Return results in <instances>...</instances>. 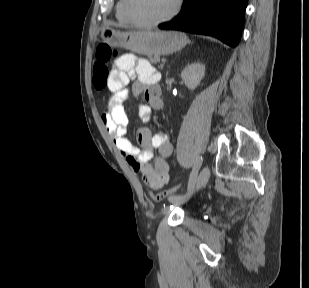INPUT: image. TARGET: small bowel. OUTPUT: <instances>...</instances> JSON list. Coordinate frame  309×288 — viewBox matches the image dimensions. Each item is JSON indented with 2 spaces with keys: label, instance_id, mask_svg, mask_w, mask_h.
Instances as JSON below:
<instances>
[{
  "label": "small bowel",
  "instance_id": "obj_1",
  "mask_svg": "<svg viewBox=\"0 0 309 288\" xmlns=\"http://www.w3.org/2000/svg\"><path fill=\"white\" fill-rule=\"evenodd\" d=\"M157 72L146 59H138L133 54H124L115 61V67L109 79V96L102 122L133 171L141 175L144 183L153 190H158L169 180L170 166L167 158L172 155L173 146L167 133L159 129L152 133L142 127L136 132L135 146L127 137L128 118L124 105L132 97L143 95L144 104L138 105V112L143 121L150 119L153 111L162 110L164 103L161 89L157 85ZM133 81L132 88L129 83ZM157 152V154L154 153Z\"/></svg>",
  "mask_w": 309,
  "mask_h": 288
}]
</instances>
